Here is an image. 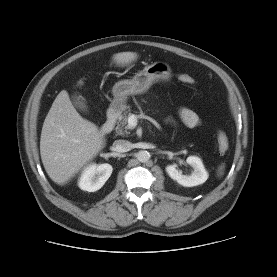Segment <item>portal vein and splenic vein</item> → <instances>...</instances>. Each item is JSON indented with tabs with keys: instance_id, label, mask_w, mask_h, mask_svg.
<instances>
[{
	"instance_id": "portal-vein-and-splenic-vein-1",
	"label": "portal vein and splenic vein",
	"mask_w": 277,
	"mask_h": 277,
	"mask_svg": "<svg viewBox=\"0 0 277 277\" xmlns=\"http://www.w3.org/2000/svg\"><path fill=\"white\" fill-rule=\"evenodd\" d=\"M138 120L137 116L132 114L128 117V127L134 129L137 126Z\"/></svg>"
}]
</instances>
